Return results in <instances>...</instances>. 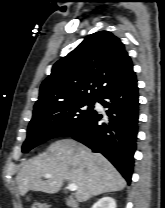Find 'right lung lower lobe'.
I'll return each instance as SVG.
<instances>
[{"mask_svg": "<svg viewBox=\"0 0 165 208\" xmlns=\"http://www.w3.org/2000/svg\"><path fill=\"white\" fill-rule=\"evenodd\" d=\"M106 110L105 122L95 110L85 123L69 136L94 152L103 154L131 182L138 132V87L135 73L106 91L97 100Z\"/></svg>", "mask_w": 165, "mask_h": 208, "instance_id": "obj_1", "label": "right lung lower lobe"}]
</instances>
